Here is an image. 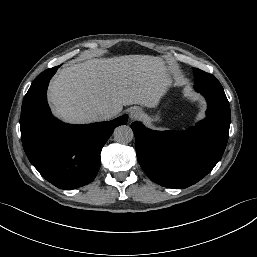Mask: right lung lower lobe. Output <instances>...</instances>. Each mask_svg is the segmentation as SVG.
I'll use <instances>...</instances> for the list:
<instances>
[{
    "label": "right lung lower lobe",
    "instance_id": "obj_1",
    "mask_svg": "<svg viewBox=\"0 0 257 257\" xmlns=\"http://www.w3.org/2000/svg\"><path fill=\"white\" fill-rule=\"evenodd\" d=\"M59 66L45 70L24 97L21 139L24 151L39 173L61 189H75L94 180L102 147L114 128L126 124L125 114L108 122L65 124L54 118L47 103L49 80Z\"/></svg>",
    "mask_w": 257,
    "mask_h": 257
}]
</instances>
